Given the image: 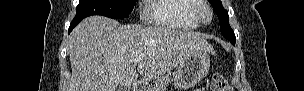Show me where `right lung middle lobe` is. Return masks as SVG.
<instances>
[{
	"label": "right lung middle lobe",
	"mask_w": 304,
	"mask_h": 91,
	"mask_svg": "<svg viewBox=\"0 0 304 91\" xmlns=\"http://www.w3.org/2000/svg\"><path fill=\"white\" fill-rule=\"evenodd\" d=\"M137 0H80L76 8L77 18L103 15L114 19H124L132 12Z\"/></svg>",
	"instance_id": "dd1d6c3e"
}]
</instances>
